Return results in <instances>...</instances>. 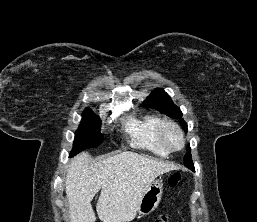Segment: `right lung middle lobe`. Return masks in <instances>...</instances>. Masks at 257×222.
<instances>
[{"instance_id":"right-lung-middle-lobe-1","label":"right lung middle lobe","mask_w":257,"mask_h":222,"mask_svg":"<svg viewBox=\"0 0 257 222\" xmlns=\"http://www.w3.org/2000/svg\"><path fill=\"white\" fill-rule=\"evenodd\" d=\"M101 121L89 108L82 115V121L75 134L73 149L70 156L88 148L97 147L103 141L100 133Z\"/></svg>"}]
</instances>
